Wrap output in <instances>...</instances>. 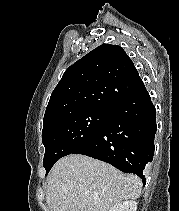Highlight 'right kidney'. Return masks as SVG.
Returning a JSON list of instances; mask_svg holds the SVG:
<instances>
[{
	"mask_svg": "<svg viewBox=\"0 0 179 211\" xmlns=\"http://www.w3.org/2000/svg\"><path fill=\"white\" fill-rule=\"evenodd\" d=\"M137 202L130 200L114 205L109 211H136Z\"/></svg>",
	"mask_w": 179,
	"mask_h": 211,
	"instance_id": "obj_1",
	"label": "right kidney"
}]
</instances>
